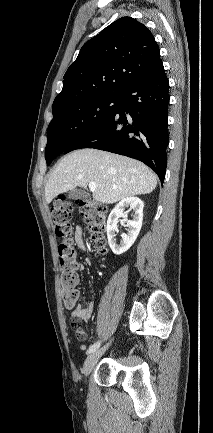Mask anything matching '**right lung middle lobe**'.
Returning <instances> with one entry per match:
<instances>
[{"label": "right lung middle lobe", "mask_w": 213, "mask_h": 433, "mask_svg": "<svg viewBox=\"0 0 213 433\" xmlns=\"http://www.w3.org/2000/svg\"><path fill=\"white\" fill-rule=\"evenodd\" d=\"M121 95H98L53 113L47 129V165L72 144L102 125L117 109Z\"/></svg>", "instance_id": "1"}]
</instances>
